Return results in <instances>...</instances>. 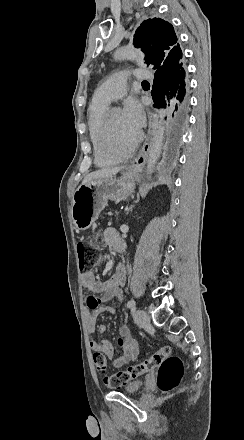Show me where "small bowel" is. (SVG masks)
I'll use <instances>...</instances> for the list:
<instances>
[{
  "instance_id": "c3829d8e",
  "label": "small bowel",
  "mask_w": 244,
  "mask_h": 440,
  "mask_svg": "<svg viewBox=\"0 0 244 440\" xmlns=\"http://www.w3.org/2000/svg\"><path fill=\"white\" fill-rule=\"evenodd\" d=\"M104 241L109 247L118 248L121 243L118 231L111 227L105 229ZM125 278L126 271L121 264L116 267L113 276L106 281L96 279L93 273H83L81 276L83 287L92 292V295L87 299V307L91 310V313H89L87 317V330L91 336L89 341L90 348L93 351L104 353L112 360L115 368H120L137 357L136 344L131 338L129 326L123 324L118 330V334H125L128 342L126 348H121V354L118 356L111 342L107 340H95L93 335L96 331L100 335L106 332L104 325L96 326V320L103 312L115 313L117 311V305L111 302H117L122 299Z\"/></svg>"
}]
</instances>
